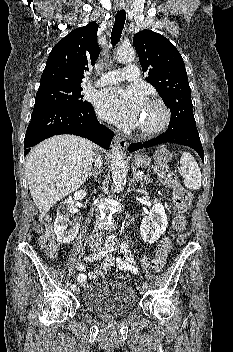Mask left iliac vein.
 <instances>
[{
	"label": "left iliac vein",
	"instance_id": "1",
	"mask_svg": "<svg viewBox=\"0 0 233 352\" xmlns=\"http://www.w3.org/2000/svg\"><path fill=\"white\" fill-rule=\"evenodd\" d=\"M139 291H140L141 294H143V293H145L146 290H145V288L142 287V288L139 289Z\"/></svg>",
	"mask_w": 233,
	"mask_h": 352
}]
</instances>
